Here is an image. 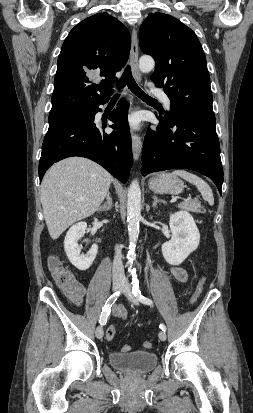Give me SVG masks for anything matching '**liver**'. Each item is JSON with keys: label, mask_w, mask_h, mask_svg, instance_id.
Returning <instances> with one entry per match:
<instances>
[{"label": "liver", "mask_w": 253, "mask_h": 413, "mask_svg": "<svg viewBox=\"0 0 253 413\" xmlns=\"http://www.w3.org/2000/svg\"><path fill=\"white\" fill-rule=\"evenodd\" d=\"M112 176L99 164L70 157L49 168L41 188V203L53 240L72 224L98 210L110 188Z\"/></svg>", "instance_id": "6515ba94"}]
</instances>
